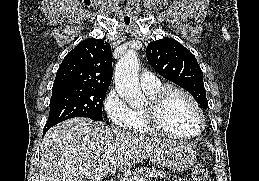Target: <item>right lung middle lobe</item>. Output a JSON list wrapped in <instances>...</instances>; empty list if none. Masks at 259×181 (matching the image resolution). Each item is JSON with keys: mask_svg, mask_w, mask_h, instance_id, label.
I'll return each instance as SVG.
<instances>
[{"mask_svg": "<svg viewBox=\"0 0 259 181\" xmlns=\"http://www.w3.org/2000/svg\"><path fill=\"white\" fill-rule=\"evenodd\" d=\"M107 89L84 87L52 88L50 114L44 128L73 117H88L102 121L103 100Z\"/></svg>", "mask_w": 259, "mask_h": 181, "instance_id": "dd1d6c3e", "label": "right lung middle lobe"}]
</instances>
